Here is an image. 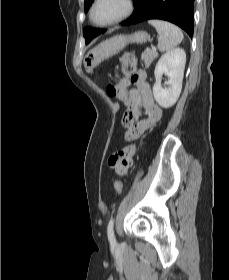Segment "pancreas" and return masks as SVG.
Returning <instances> with one entry per match:
<instances>
[{
  "label": "pancreas",
  "mask_w": 229,
  "mask_h": 280,
  "mask_svg": "<svg viewBox=\"0 0 229 280\" xmlns=\"http://www.w3.org/2000/svg\"><path fill=\"white\" fill-rule=\"evenodd\" d=\"M158 56V53L151 49H146L142 55L141 59L143 60L146 67H149L152 61Z\"/></svg>",
  "instance_id": "cf45deb5"
}]
</instances>
